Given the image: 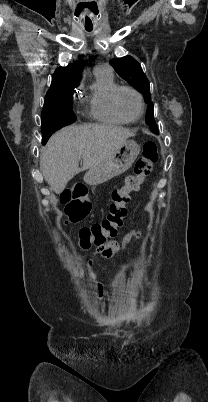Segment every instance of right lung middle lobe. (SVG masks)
Segmentation results:
<instances>
[{
    "mask_svg": "<svg viewBox=\"0 0 208 402\" xmlns=\"http://www.w3.org/2000/svg\"><path fill=\"white\" fill-rule=\"evenodd\" d=\"M74 89L56 92L45 97V102L41 115V122H50L57 120L66 125L76 121V116L72 110V95ZM47 140L43 135L42 144Z\"/></svg>",
    "mask_w": 208,
    "mask_h": 402,
    "instance_id": "right-lung-middle-lobe-1",
    "label": "right lung middle lobe"
}]
</instances>
